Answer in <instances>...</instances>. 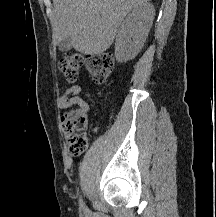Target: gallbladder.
Masks as SVG:
<instances>
[{"instance_id": "bac80fb5", "label": "gallbladder", "mask_w": 216, "mask_h": 217, "mask_svg": "<svg viewBox=\"0 0 216 217\" xmlns=\"http://www.w3.org/2000/svg\"><path fill=\"white\" fill-rule=\"evenodd\" d=\"M59 50L61 51H68L72 48V41L70 37L64 38L60 43H59Z\"/></svg>"}]
</instances>
